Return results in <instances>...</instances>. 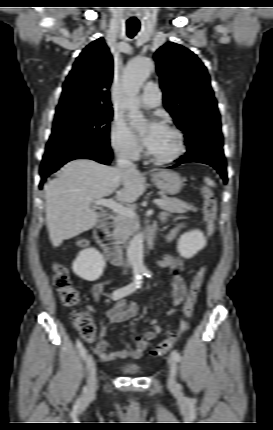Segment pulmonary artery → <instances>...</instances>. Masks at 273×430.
<instances>
[{
    "label": "pulmonary artery",
    "mask_w": 273,
    "mask_h": 430,
    "mask_svg": "<svg viewBox=\"0 0 273 430\" xmlns=\"http://www.w3.org/2000/svg\"><path fill=\"white\" fill-rule=\"evenodd\" d=\"M141 105L145 108H155L161 102V90L155 82H148L140 98Z\"/></svg>",
    "instance_id": "obj_1"
}]
</instances>
